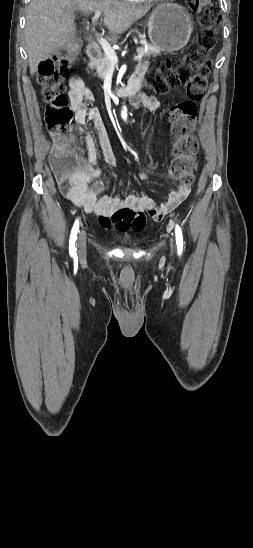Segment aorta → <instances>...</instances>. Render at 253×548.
Wrapping results in <instances>:
<instances>
[{
	"label": "aorta",
	"instance_id": "1",
	"mask_svg": "<svg viewBox=\"0 0 253 548\" xmlns=\"http://www.w3.org/2000/svg\"><path fill=\"white\" fill-rule=\"evenodd\" d=\"M122 114H123L124 117L126 116L125 108H124V111H123Z\"/></svg>",
	"mask_w": 253,
	"mask_h": 548
}]
</instances>
